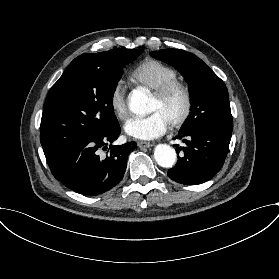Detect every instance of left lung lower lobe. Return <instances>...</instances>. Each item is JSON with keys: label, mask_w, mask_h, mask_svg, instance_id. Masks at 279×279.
I'll return each instance as SVG.
<instances>
[{"label": "left lung lower lobe", "mask_w": 279, "mask_h": 279, "mask_svg": "<svg viewBox=\"0 0 279 279\" xmlns=\"http://www.w3.org/2000/svg\"><path fill=\"white\" fill-rule=\"evenodd\" d=\"M232 130L214 126H200L180 131L175 139L186 143L176 146L184 151L177 164L168 170V177L175 182L196 185L210 180L223 166L229 150Z\"/></svg>", "instance_id": "1"}]
</instances>
